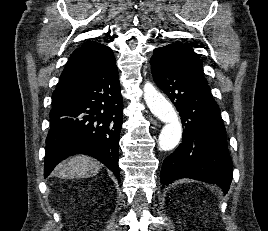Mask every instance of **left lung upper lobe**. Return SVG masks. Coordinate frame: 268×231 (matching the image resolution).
I'll return each instance as SVG.
<instances>
[{"label":"left lung upper lobe","mask_w":268,"mask_h":231,"mask_svg":"<svg viewBox=\"0 0 268 231\" xmlns=\"http://www.w3.org/2000/svg\"><path fill=\"white\" fill-rule=\"evenodd\" d=\"M153 59L169 65L171 68L207 83L202 62L193 49L182 43H172L154 50Z\"/></svg>","instance_id":"5c2ea615"}]
</instances>
